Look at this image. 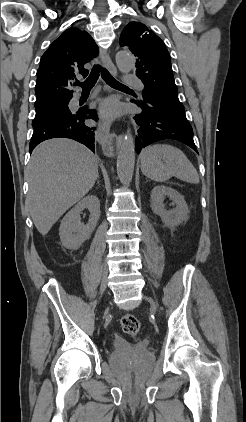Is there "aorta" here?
Segmentation results:
<instances>
[{"mask_svg": "<svg viewBox=\"0 0 246 422\" xmlns=\"http://www.w3.org/2000/svg\"><path fill=\"white\" fill-rule=\"evenodd\" d=\"M116 64L121 72L127 73L134 67V58L127 52H118L116 55ZM122 142L117 157V174L120 182L128 185L133 178L135 165V144L130 129Z\"/></svg>", "mask_w": 246, "mask_h": 422, "instance_id": "762f6f07", "label": "aorta"}]
</instances>
